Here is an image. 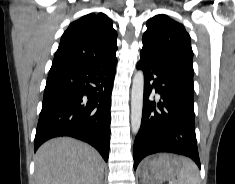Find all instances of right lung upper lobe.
Masks as SVG:
<instances>
[{
	"label": "right lung upper lobe",
	"instance_id": "obj_1",
	"mask_svg": "<svg viewBox=\"0 0 235 184\" xmlns=\"http://www.w3.org/2000/svg\"><path fill=\"white\" fill-rule=\"evenodd\" d=\"M117 32L103 13H91L70 24L61 37L52 67L102 66L117 62Z\"/></svg>",
	"mask_w": 235,
	"mask_h": 184
}]
</instances>
